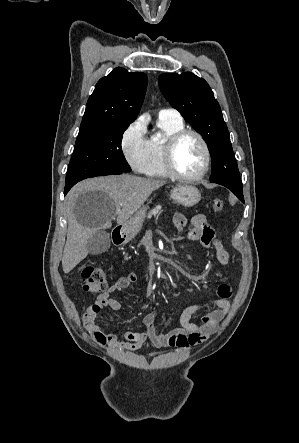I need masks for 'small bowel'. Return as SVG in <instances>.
<instances>
[{"label":"small bowel","instance_id":"small-bowel-1","mask_svg":"<svg viewBox=\"0 0 299 443\" xmlns=\"http://www.w3.org/2000/svg\"><path fill=\"white\" fill-rule=\"evenodd\" d=\"M173 224L181 231L187 226L188 220L183 214L176 213L173 216ZM190 224L191 229L187 233L186 239L188 241H200L205 247L213 249L218 262L223 266H227L230 262V255L222 242L216 237L215 231L208 223L206 216L204 214L194 215L191 218ZM136 280L137 276L134 273L118 278L97 297L95 305L98 306L100 310L103 307H109L119 312L122 305L117 299L111 297V294L128 288L131 284L135 283ZM217 295V299L210 303H196L187 306L180 314V327L166 333L158 332L155 323L157 315L155 311L147 313L143 318L146 331H125L123 332L124 340H119L117 332L106 333L96 324L95 320L98 313H96L93 308L86 311L82 317V321L84 326L88 328L101 343L108 345L117 352L136 351L147 341H150L158 348L178 347L190 349L209 340L216 332L219 323L229 312V298L232 295V287L228 283L219 284L217 287ZM206 307H211L212 309L202 316L201 321H192V318Z\"/></svg>","mask_w":299,"mask_h":443}]
</instances>
